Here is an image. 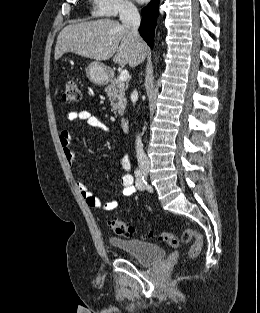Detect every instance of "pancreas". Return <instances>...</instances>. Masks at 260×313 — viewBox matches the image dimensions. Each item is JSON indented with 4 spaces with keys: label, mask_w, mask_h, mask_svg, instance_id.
Instances as JSON below:
<instances>
[{
    "label": "pancreas",
    "mask_w": 260,
    "mask_h": 313,
    "mask_svg": "<svg viewBox=\"0 0 260 313\" xmlns=\"http://www.w3.org/2000/svg\"><path fill=\"white\" fill-rule=\"evenodd\" d=\"M105 92L110 98L112 111L115 116H122L127 104V99L125 98V84L119 79H114L105 88Z\"/></svg>",
    "instance_id": "cf45deb5"
}]
</instances>
